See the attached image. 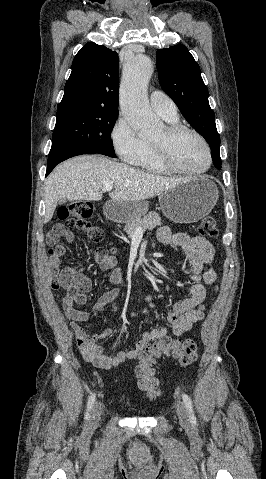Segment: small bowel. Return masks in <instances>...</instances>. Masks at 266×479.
I'll use <instances>...</instances> for the list:
<instances>
[{
	"instance_id": "1",
	"label": "small bowel",
	"mask_w": 266,
	"mask_h": 479,
	"mask_svg": "<svg viewBox=\"0 0 266 479\" xmlns=\"http://www.w3.org/2000/svg\"><path fill=\"white\" fill-rule=\"evenodd\" d=\"M67 242L75 240V235L70 230L61 232ZM158 240L163 245L177 246L189 258V273L192 280L189 297L175 302L169 310L167 321L168 327L152 328L144 330L140 337L134 339L130 347L108 355L99 345V341L110 336L112 329L107 328L100 333H89L81 325L90 320L92 313L80 310L77 306L87 302L88 293L91 289V281L82 272L72 267L56 266L57 274L53 279V286L66 291L61 298V305L67 320L70 322L77 346L84 359L94 366L102 369L118 367L126 360L136 359L150 341L164 338L170 332L174 336H181L203 320L206 289L205 285H215L217 275L211 267L215 250L213 245L204 237L185 232H173L168 226L158 229ZM93 261L99 265L102 271H110L108 280L114 286L122 285L124 277L121 269L116 268V258L108 255L102 248L95 250ZM122 295L120 288L115 287L103 293L95 304V312H101L107 305H111L115 312H121L119 298ZM147 307L140 312L147 315L153 308L151 297L146 295ZM136 315V313H134Z\"/></svg>"
}]
</instances>
